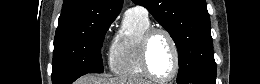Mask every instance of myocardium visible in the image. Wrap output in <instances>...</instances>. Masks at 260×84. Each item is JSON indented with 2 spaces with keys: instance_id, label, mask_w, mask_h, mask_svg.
Here are the masks:
<instances>
[{
  "instance_id": "1",
  "label": "myocardium",
  "mask_w": 260,
  "mask_h": 84,
  "mask_svg": "<svg viewBox=\"0 0 260 84\" xmlns=\"http://www.w3.org/2000/svg\"><path fill=\"white\" fill-rule=\"evenodd\" d=\"M156 34L165 35L168 38V40L170 41L172 49H173L174 69H173L171 75L166 78H160V77L156 76L153 73V71L151 70V67L149 64L150 43ZM140 58H141L142 69H143L145 75L147 77H149L150 79H152L153 81L158 82V83H168V82L173 81L177 77V75L180 71L181 61H180V52H179L177 42H176L175 38L173 37V35L165 28L150 27L148 30H146V32L143 34L141 42H140Z\"/></svg>"
}]
</instances>
